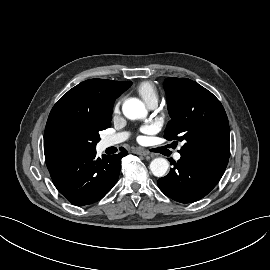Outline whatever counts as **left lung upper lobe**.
Returning a JSON list of instances; mask_svg holds the SVG:
<instances>
[{"label": "left lung upper lobe", "instance_id": "obj_1", "mask_svg": "<svg viewBox=\"0 0 270 270\" xmlns=\"http://www.w3.org/2000/svg\"><path fill=\"white\" fill-rule=\"evenodd\" d=\"M164 89L171 117L164 137L184 143L180 154L210 155L229 160L230 129L220 101L187 78H167Z\"/></svg>", "mask_w": 270, "mask_h": 270}]
</instances>
